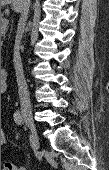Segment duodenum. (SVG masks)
I'll use <instances>...</instances> for the list:
<instances>
[{"mask_svg":"<svg viewBox=\"0 0 109 170\" xmlns=\"http://www.w3.org/2000/svg\"><path fill=\"white\" fill-rule=\"evenodd\" d=\"M7 87H8L7 71L3 69L1 70V91H6Z\"/></svg>","mask_w":109,"mask_h":170,"instance_id":"duodenum-1","label":"duodenum"}]
</instances>
